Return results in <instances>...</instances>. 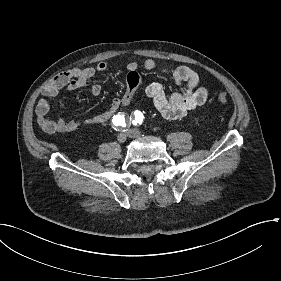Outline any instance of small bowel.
Returning a JSON list of instances; mask_svg holds the SVG:
<instances>
[{"label": "small bowel", "mask_w": 281, "mask_h": 281, "mask_svg": "<svg viewBox=\"0 0 281 281\" xmlns=\"http://www.w3.org/2000/svg\"><path fill=\"white\" fill-rule=\"evenodd\" d=\"M141 67L148 72L158 68L153 59L144 60ZM107 69V63L101 61L94 67L74 68L53 77L43 89L44 97L39 99L36 104V121L40 129L45 133L53 134L75 131L84 125L103 124L111 120L122 107L128 106L140 85V76L137 72L138 64L134 61L126 65L128 75L124 94L112 99L106 110L83 120H69L64 117L51 119L48 117L50 104L47 98L56 97L61 92H72L85 88L91 78ZM162 69L169 70L167 66ZM172 73L175 83L181 86L180 91L168 96L162 86L150 84L146 87L145 94L152 100L162 117L176 120L203 105L207 100L208 91L205 87L200 86L199 75L191 68L180 66L173 69ZM101 91V85L97 83L90 85V92L93 96L100 95Z\"/></svg>", "instance_id": "obj_1"}]
</instances>
